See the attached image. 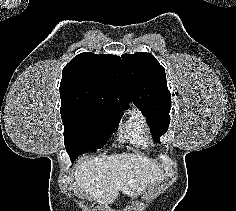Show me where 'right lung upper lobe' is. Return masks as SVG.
Returning <instances> with one entry per match:
<instances>
[{"mask_svg": "<svg viewBox=\"0 0 236 211\" xmlns=\"http://www.w3.org/2000/svg\"><path fill=\"white\" fill-rule=\"evenodd\" d=\"M61 109L124 110L131 94L119 56L81 53L62 71Z\"/></svg>", "mask_w": 236, "mask_h": 211, "instance_id": "obj_1", "label": "right lung upper lobe"}]
</instances>
